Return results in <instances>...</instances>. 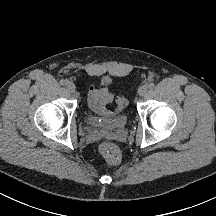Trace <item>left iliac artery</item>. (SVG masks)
Returning <instances> with one entry per match:
<instances>
[{
  "mask_svg": "<svg viewBox=\"0 0 216 216\" xmlns=\"http://www.w3.org/2000/svg\"><path fill=\"white\" fill-rule=\"evenodd\" d=\"M154 86H155L154 83H150L148 87H149L150 89H152V88H154Z\"/></svg>",
  "mask_w": 216,
  "mask_h": 216,
  "instance_id": "1",
  "label": "left iliac artery"
}]
</instances>
